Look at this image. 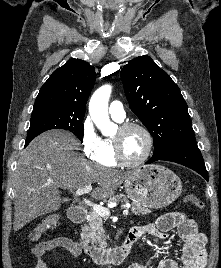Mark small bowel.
Listing matches in <instances>:
<instances>
[{
  "instance_id": "c3829d8e",
  "label": "small bowel",
  "mask_w": 221,
  "mask_h": 268,
  "mask_svg": "<svg viewBox=\"0 0 221 268\" xmlns=\"http://www.w3.org/2000/svg\"><path fill=\"white\" fill-rule=\"evenodd\" d=\"M138 237L152 235L161 240L169 238V232L176 230L183 241L181 263L171 258H160L154 263H133L128 268H205L207 264V237L200 232L197 221L182 212H170L159 216L155 223L135 226L132 228ZM138 238V239H139ZM62 247L74 256L81 254L78 242L69 237H58L42 241L34 245L33 254L37 257L35 268H52L44 260L43 255L54 248Z\"/></svg>"
}]
</instances>
